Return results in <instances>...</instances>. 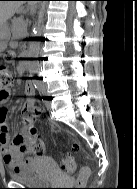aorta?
I'll list each match as a JSON object with an SVG mask.
<instances>
[{"instance_id": "obj_1", "label": "aorta", "mask_w": 137, "mask_h": 189, "mask_svg": "<svg viewBox=\"0 0 137 189\" xmlns=\"http://www.w3.org/2000/svg\"><path fill=\"white\" fill-rule=\"evenodd\" d=\"M37 33L34 35H30V47H29V55L35 58L39 52V36H42L41 33L43 30V25L38 24L36 27ZM30 75H32L33 82H43V74L39 71V63L37 61H32L30 65Z\"/></svg>"}]
</instances>
